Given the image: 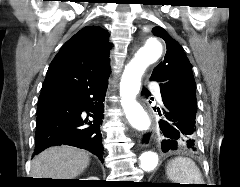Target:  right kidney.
<instances>
[{"instance_id": "right-kidney-1", "label": "right kidney", "mask_w": 240, "mask_h": 187, "mask_svg": "<svg viewBox=\"0 0 240 187\" xmlns=\"http://www.w3.org/2000/svg\"><path fill=\"white\" fill-rule=\"evenodd\" d=\"M83 180H98V178H96V177H90V178L83 179Z\"/></svg>"}]
</instances>
